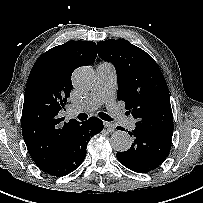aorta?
Segmentation results:
<instances>
[{
	"mask_svg": "<svg viewBox=\"0 0 203 203\" xmlns=\"http://www.w3.org/2000/svg\"><path fill=\"white\" fill-rule=\"evenodd\" d=\"M72 80L74 87L78 91L85 92L92 88L96 77L94 71L91 68L83 66L75 70ZM110 143L114 150L124 152L130 149L132 145V139L127 132L118 130L111 135Z\"/></svg>",
	"mask_w": 203,
	"mask_h": 203,
	"instance_id": "762f6f07",
	"label": "aorta"
}]
</instances>
